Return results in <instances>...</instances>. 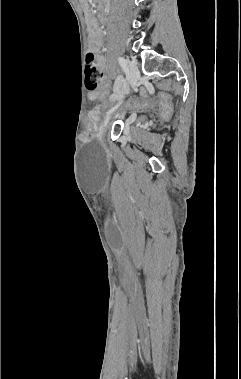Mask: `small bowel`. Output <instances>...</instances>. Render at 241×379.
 Instances as JSON below:
<instances>
[{
    "mask_svg": "<svg viewBox=\"0 0 241 379\" xmlns=\"http://www.w3.org/2000/svg\"><path fill=\"white\" fill-rule=\"evenodd\" d=\"M91 42L93 52L97 53L101 45V38L95 30L92 31ZM98 66L100 70L103 72L104 66L100 59L98 60ZM85 91L86 93H90L89 97L92 100L100 95V90L98 89V86H86ZM91 104H94V101H91ZM99 106H102V103H99Z\"/></svg>",
    "mask_w": 241,
    "mask_h": 379,
    "instance_id": "c3829d8e",
    "label": "small bowel"
}]
</instances>
